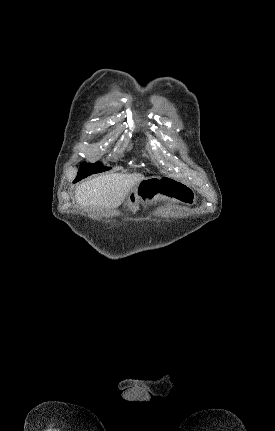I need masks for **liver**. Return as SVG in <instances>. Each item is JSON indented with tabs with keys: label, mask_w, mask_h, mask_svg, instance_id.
I'll return each mask as SVG.
<instances>
[{
	"label": "liver",
	"mask_w": 275,
	"mask_h": 431,
	"mask_svg": "<svg viewBox=\"0 0 275 431\" xmlns=\"http://www.w3.org/2000/svg\"><path fill=\"white\" fill-rule=\"evenodd\" d=\"M144 176L133 174H107L83 182L76 188L77 203L86 207L111 210L119 206Z\"/></svg>",
	"instance_id": "6515ba94"
}]
</instances>
